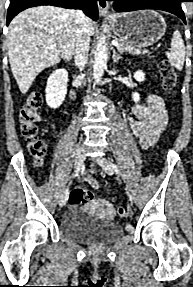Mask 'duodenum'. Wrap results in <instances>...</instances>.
<instances>
[{
	"label": "duodenum",
	"instance_id": "410a0bca",
	"mask_svg": "<svg viewBox=\"0 0 193 287\" xmlns=\"http://www.w3.org/2000/svg\"><path fill=\"white\" fill-rule=\"evenodd\" d=\"M70 96H71V98H72V99L74 98V96H75V92H74L73 90H71V92H70Z\"/></svg>",
	"mask_w": 193,
	"mask_h": 287
}]
</instances>
